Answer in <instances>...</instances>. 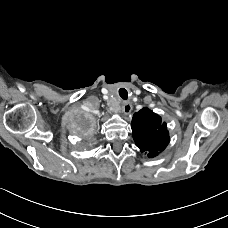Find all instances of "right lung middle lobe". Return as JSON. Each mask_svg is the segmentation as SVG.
<instances>
[{
    "mask_svg": "<svg viewBox=\"0 0 228 228\" xmlns=\"http://www.w3.org/2000/svg\"><path fill=\"white\" fill-rule=\"evenodd\" d=\"M76 132L79 135L85 136L89 133V127H87L86 125H83V124H78L76 127Z\"/></svg>",
    "mask_w": 228,
    "mask_h": 228,
    "instance_id": "right-lung-middle-lobe-1",
    "label": "right lung middle lobe"
}]
</instances>
